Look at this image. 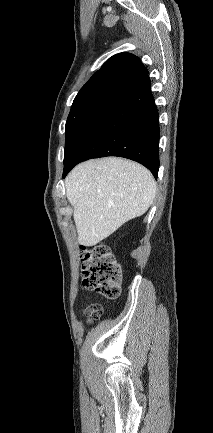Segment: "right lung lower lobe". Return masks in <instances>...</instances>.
<instances>
[{
  "mask_svg": "<svg viewBox=\"0 0 213 433\" xmlns=\"http://www.w3.org/2000/svg\"><path fill=\"white\" fill-rule=\"evenodd\" d=\"M146 75L103 108L64 155L63 177L81 161L119 156L146 166L158 176L159 115Z\"/></svg>",
  "mask_w": 213,
  "mask_h": 433,
  "instance_id": "98d812e1",
  "label": "right lung lower lobe"
}]
</instances>
